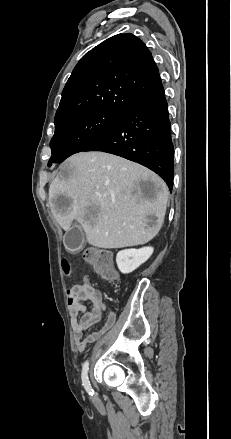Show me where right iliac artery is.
Listing matches in <instances>:
<instances>
[{
	"label": "right iliac artery",
	"instance_id": "right-iliac-artery-1",
	"mask_svg": "<svg viewBox=\"0 0 231 439\" xmlns=\"http://www.w3.org/2000/svg\"><path fill=\"white\" fill-rule=\"evenodd\" d=\"M88 369H89V362L86 361L83 364V368H82V374H81L82 384H83L85 390L88 392V394L93 395L94 390L92 389L91 384H90L89 379H88Z\"/></svg>",
	"mask_w": 231,
	"mask_h": 439
}]
</instances>
